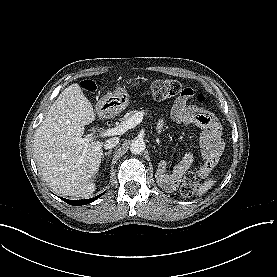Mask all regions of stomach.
<instances>
[{
  "mask_svg": "<svg viewBox=\"0 0 277 277\" xmlns=\"http://www.w3.org/2000/svg\"><path fill=\"white\" fill-rule=\"evenodd\" d=\"M132 85L137 86L139 81L130 80ZM102 108L110 113L117 114L129 105V94L126 88L118 86L113 92L108 93L101 99Z\"/></svg>",
  "mask_w": 277,
  "mask_h": 277,
  "instance_id": "stomach-1",
  "label": "stomach"
}]
</instances>
